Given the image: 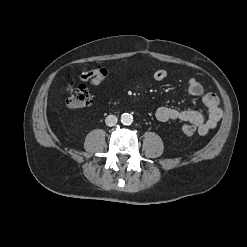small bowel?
<instances>
[{
    "instance_id": "1",
    "label": "small bowel",
    "mask_w": 247,
    "mask_h": 247,
    "mask_svg": "<svg viewBox=\"0 0 247 247\" xmlns=\"http://www.w3.org/2000/svg\"><path fill=\"white\" fill-rule=\"evenodd\" d=\"M102 71L107 74V78L110 73L107 69L101 68L91 71L82 72L79 75L80 80L89 81L92 76ZM168 76L166 70L160 69L155 71L151 78L155 81H164ZM73 83H70V86ZM188 91L192 96H201L204 94L203 86L196 79H190L188 82ZM203 102L208 110V115L204 116L201 112L189 109H177L172 107H159L155 111V117L159 121L179 120L187 122L197 127L200 135H206L210 130L214 129L223 116V111L220 107V100L215 93H206L203 96Z\"/></svg>"
}]
</instances>
